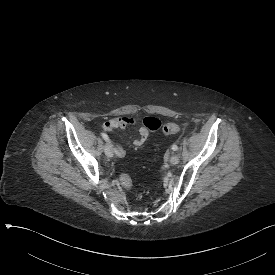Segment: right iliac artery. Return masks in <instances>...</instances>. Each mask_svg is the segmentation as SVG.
I'll list each match as a JSON object with an SVG mask.
<instances>
[{"label": "right iliac artery", "instance_id": "obj_1", "mask_svg": "<svg viewBox=\"0 0 275 275\" xmlns=\"http://www.w3.org/2000/svg\"><path fill=\"white\" fill-rule=\"evenodd\" d=\"M101 136H102V138H103L105 141L110 142L109 137H108V135H107L106 133L102 132V133H101Z\"/></svg>", "mask_w": 275, "mask_h": 275}]
</instances>
